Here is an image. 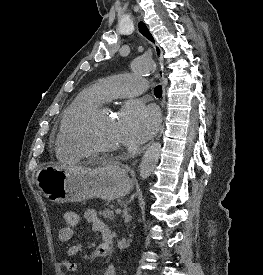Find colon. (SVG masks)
Returning a JSON list of instances; mask_svg holds the SVG:
<instances>
[{
  "label": "colon",
  "instance_id": "1",
  "mask_svg": "<svg viewBox=\"0 0 263 275\" xmlns=\"http://www.w3.org/2000/svg\"><path fill=\"white\" fill-rule=\"evenodd\" d=\"M63 219L67 225L72 227L76 226L79 222L78 214L71 210L64 212Z\"/></svg>",
  "mask_w": 263,
  "mask_h": 275
}]
</instances>
